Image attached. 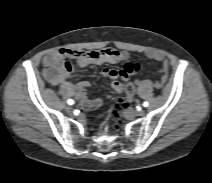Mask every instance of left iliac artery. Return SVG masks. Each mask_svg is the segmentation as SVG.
<instances>
[{
	"label": "left iliac artery",
	"instance_id": "left-iliac-artery-1",
	"mask_svg": "<svg viewBox=\"0 0 212 183\" xmlns=\"http://www.w3.org/2000/svg\"><path fill=\"white\" fill-rule=\"evenodd\" d=\"M148 105H149V103H148L147 101H145V102L143 103V106H144V107H148Z\"/></svg>",
	"mask_w": 212,
	"mask_h": 183
}]
</instances>
